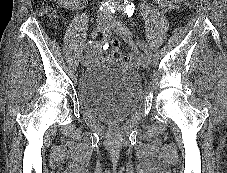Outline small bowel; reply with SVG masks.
Instances as JSON below:
<instances>
[{
  "label": "small bowel",
  "instance_id": "small-bowel-1",
  "mask_svg": "<svg viewBox=\"0 0 227 173\" xmlns=\"http://www.w3.org/2000/svg\"><path fill=\"white\" fill-rule=\"evenodd\" d=\"M155 2L165 8H175L178 6V4L181 2V0H155ZM100 57V54L98 51L93 50L91 53V59L92 61H97Z\"/></svg>",
  "mask_w": 227,
  "mask_h": 173
}]
</instances>
